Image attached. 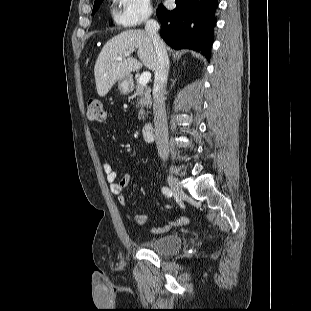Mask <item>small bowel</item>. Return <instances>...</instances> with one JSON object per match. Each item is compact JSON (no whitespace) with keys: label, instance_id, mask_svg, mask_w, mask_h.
Here are the masks:
<instances>
[{"label":"small bowel","instance_id":"obj_1","mask_svg":"<svg viewBox=\"0 0 311 311\" xmlns=\"http://www.w3.org/2000/svg\"><path fill=\"white\" fill-rule=\"evenodd\" d=\"M102 169L106 175L108 183L110 184L111 192L117 196L119 204L121 206H125L126 199L123 195V190L130 184L131 176L126 174L120 180H118V172L109 162H103ZM148 219L149 217L146 214H136L134 216V221L138 225H145L148 222ZM187 222L188 221L186 218L181 217L174 221H170L161 227H153L150 229V232L152 234H163L170 231L173 226H183L186 225Z\"/></svg>","mask_w":311,"mask_h":311}]
</instances>
